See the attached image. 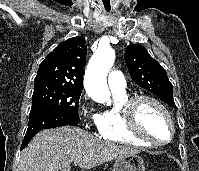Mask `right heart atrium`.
<instances>
[{
	"instance_id": "1",
	"label": "right heart atrium",
	"mask_w": 199,
	"mask_h": 171,
	"mask_svg": "<svg viewBox=\"0 0 199 171\" xmlns=\"http://www.w3.org/2000/svg\"><path fill=\"white\" fill-rule=\"evenodd\" d=\"M77 109L87 127L98 129L99 114L93 109L91 102L85 93L78 99Z\"/></svg>"
}]
</instances>
